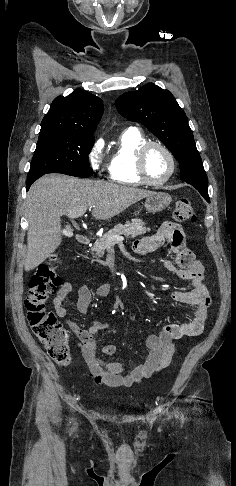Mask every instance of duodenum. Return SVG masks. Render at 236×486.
I'll return each instance as SVG.
<instances>
[{"instance_id": "obj_1", "label": "duodenum", "mask_w": 236, "mask_h": 486, "mask_svg": "<svg viewBox=\"0 0 236 486\" xmlns=\"http://www.w3.org/2000/svg\"><path fill=\"white\" fill-rule=\"evenodd\" d=\"M75 239L81 245H87L89 243V238L81 233L76 234Z\"/></svg>"}]
</instances>
